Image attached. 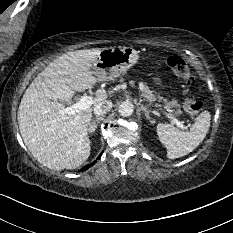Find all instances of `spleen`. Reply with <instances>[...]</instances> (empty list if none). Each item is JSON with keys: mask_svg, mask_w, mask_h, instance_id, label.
Returning <instances> with one entry per match:
<instances>
[{"mask_svg": "<svg viewBox=\"0 0 233 233\" xmlns=\"http://www.w3.org/2000/svg\"><path fill=\"white\" fill-rule=\"evenodd\" d=\"M211 115L205 110L200 113L189 131H180L170 124L159 123L157 135L167 148V157L176 159L192 152L206 137Z\"/></svg>", "mask_w": 233, "mask_h": 233, "instance_id": "spleen-1", "label": "spleen"}]
</instances>
